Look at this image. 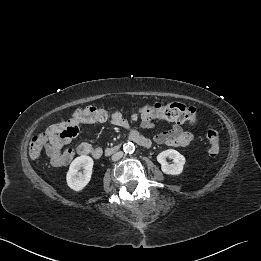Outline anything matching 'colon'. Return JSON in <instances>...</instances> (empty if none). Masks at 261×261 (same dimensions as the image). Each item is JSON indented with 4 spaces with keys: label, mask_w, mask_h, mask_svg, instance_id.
I'll return each instance as SVG.
<instances>
[{
    "label": "colon",
    "mask_w": 261,
    "mask_h": 261,
    "mask_svg": "<svg viewBox=\"0 0 261 261\" xmlns=\"http://www.w3.org/2000/svg\"><path fill=\"white\" fill-rule=\"evenodd\" d=\"M123 116L120 111H107L98 107H86L73 113L74 125L68 127L59 135V141L65 144L77 136L80 126L85 123L105 122ZM131 118L140 119L142 123H148L155 119H166L173 121H184L195 124L199 120V111L182 103L173 102L161 104L159 102L148 103L131 112ZM208 141V154L215 157L220 151L221 133L215 127L208 128L206 132ZM50 136L42 133L33 137L29 152L32 157H38L49 144Z\"/></svg>",
    "instance_id": "colon-1"
}]
</instances>
